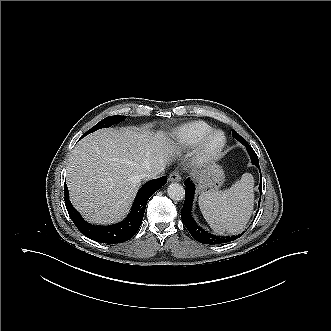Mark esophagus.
<instances>
[{
    "instance_id": "34e87169",
    "label": "esophagus",
    "mask_w": 331,
    "mask_h": 331,
    "mask_svg": "<svg viewBox=\"0 0 331 331\" xmlns=\"http://www.w3.org/2000/svg\"><path fill=\"white\" fill-rule=\"evenodd\" d=\"M170 182H179L181 181V176L177 171H173L169 177H168Z\"/></svg>"
}]
</instances>
